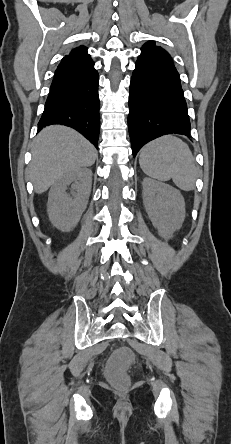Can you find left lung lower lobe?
I'll list each match as a JSON object with an SVG mask.
<instances>
[{"instance_id":"left-lung-lower-lobe-1","label":"left lung lower lobe","mask_w":231,"mask_h":444,"mask_svg":"<svg viewBox=\"0 0 231 444\" xmlns=\"http://www.w3.org/2000/svg\"><path fill=\"white\" fill-rule=\"evenodd\" d=\"M129 108L133 156L159 136L177 133L189 137L191 127L179 73L167 52L141 49L130 83Z\"/></svg>"}]
</instances>
